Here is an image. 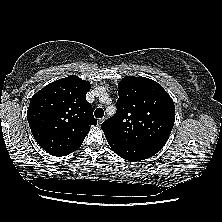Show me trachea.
<instances>
[{
    "label": "trachea",
    "mask_w": 222,
    "mask_h": 222,
    "mask_svg": "<svg viewBox=\"0 0 222 222\" xmlns=\"http://www.w3.org/2000/svg\"><path fill=\"white\" fill-rule=\"evenodd\" d=\"M96 118H102L104 116V111L102 108H97L94 112Z\"/></svg>",
    "instance_id": "trachea-1"
}]
</instances>
